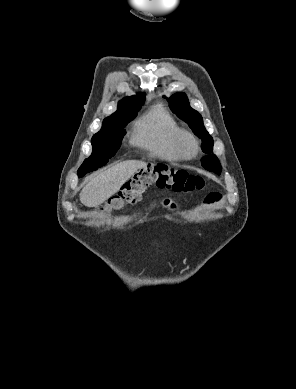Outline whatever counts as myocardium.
<instances>
[{
	"instance_id": "obj_1",
	"label": "myocardium",
	"mask_w": 296,
	"mask_h": 389,
	"mask_svg": "<svg viewBox=\"0 0 296 389\" xmlns=\"http://www.w3.org/2000/svg\"><path fill=\"white\" fill-rule=\"evenodd\" d=\"M175 149L182 159L192 160L198 155L200 146L193 133L181 130L175 140Z\"/></svg>"
}]
</instances>
